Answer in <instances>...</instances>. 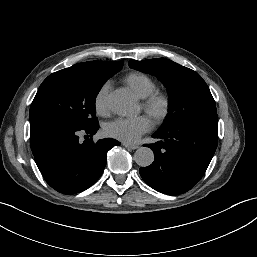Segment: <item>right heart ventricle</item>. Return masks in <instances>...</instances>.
Wrapping results in <instances>:
<instances>
[{"label":"right heart ventricle","instance_id":"obj_1","mask_svg":"<svg viewBox=\"0 0 257 257\" xmlns=\"http://www.w3.org/2000/svg\"><path fill=\"white\" fill-rule=\"evenodd\" d=\"M126 84L140 98H146L156 90L154 81L143 73H133L125 78Z\"/></svg>","mask_w":257,"mask_h":257}]
</instances>
